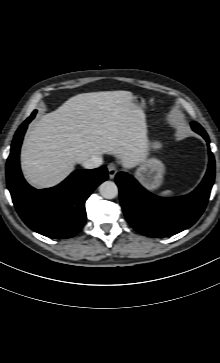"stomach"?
I'll list each match as a JSON object with an SVG mask.
<instances>
[{"label":"stomach","instance_id":"0dacf381","mask_svg":"<svg viewBox=\"0 0 220 363\" xmlns=\"http://www.w3.org/2000/svg\"><path fill=\"white\" fill-rule=\"evenodd\" d=\"M133 102L139 106H143L145 99L140 95H133ZM149 147L156 150L162 147V143L160 141H153L149 143ZM164 173L165 166L159 159L144 158L139 164L135 176L143 187L152 191L162 184Z\"/></svg>","mask_w":220,"mask_h":363}]
</instances>
